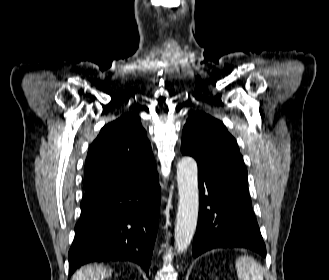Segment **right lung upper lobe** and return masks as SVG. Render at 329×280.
Returning a JSON list of instances; mask_svg holds the SVG:
<instances>
[{"label": "right lung upper lobe", "instance_id": "1", "mask_svg": "<svg viewBox=\"0 0 329 280\" xmlns=\"http://www.w3.org/2000/svg\"><path fill=\"white\" fill-rule=\"evenodd\" d=\"M156 171V163L138 114L128 112L106 124L88 149L84 187L113 178L131 179Z\"/></svg>", "mask_w": 329, "mask_h": 280}]
</instances>
